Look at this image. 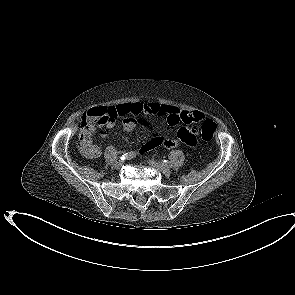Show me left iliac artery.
Here are the masks:
<instances>
[{
  "mask_svg": "<svg viewBox=\"0 0 295 295\" xmlns=\"http://www.w3.org/2000/svg\"><path fill=\"white\" fill-rule=\"evenodd\" d=\"M162 164L165 166H170V162L168 160H162Z\"/></svg>",
  "mask_w": 295,
  "mask_h": 295,
  "instance_id": "1",
  "label": "left iliac artery"
}]
</instances>
